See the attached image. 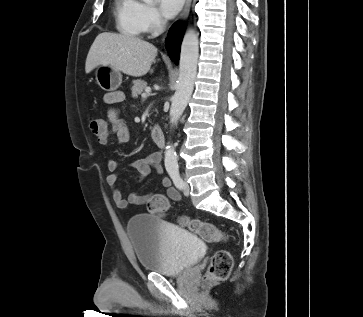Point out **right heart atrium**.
Listing matches in <instances>:
<instances>
[{
	"mask_svg": "<svg viewBox=\"0 0 363 317\" xmlns=\"http://www.w3.org/2000/svg\"><path fill=\"white\" fill-rule=\"evenodd\" d=\"M143 30L148 34H156L165 27V20L157 8L151 5L142 7Z\"/></svg>",
	"mask_w": 363,
	"mask_h": 317,
	"instance_id": "d8ad5b80",
	"label": "right heart atrium"
}]
</instances>
